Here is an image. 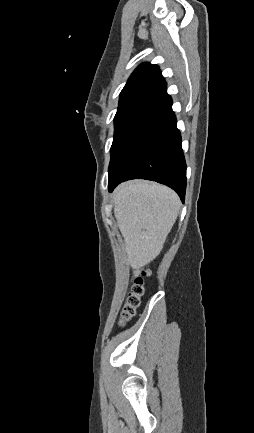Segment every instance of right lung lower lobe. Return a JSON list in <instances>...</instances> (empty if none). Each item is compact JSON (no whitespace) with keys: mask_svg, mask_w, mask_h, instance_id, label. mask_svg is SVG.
<instances>
[{"mask_svg":"<svg viewBox=\"0 0 254 433\" xmlns=\"http://www.w3.org/2000/svg\"><path fill=\"white\" fill-rule=\"evenodd\" d=\"M166 88L143 104L126 123L111 154L108 188L141 178L172 188L184 202L186 163Z\"/></svg>","mask_w":254,"mask_h":433,"instance_id":"obj_1","label":"right lung lower lobe"}]
</instances>
